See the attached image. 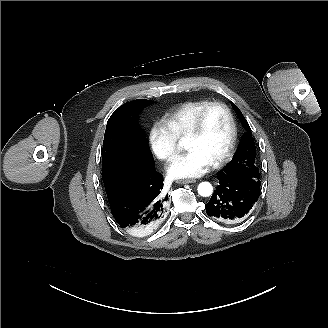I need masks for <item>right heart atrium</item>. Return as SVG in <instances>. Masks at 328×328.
<instances>
[{
	"mask_svg": "<svg viewBox=\"0 0 328 328\" xmlns=\"http://www.w3.org/2000/svg\"><path fill=\"white\" fill-rule=\"evenodd\" d=\"M148 141L153 154L162 161L172 159L178 152L177 141L161 121L150 125Z\"/></svg>",
	"mask_w": 328,
	"mask_h": 328,
	"instance_id": "1",
	"label": "right heart atrium"
}]
</instances>
